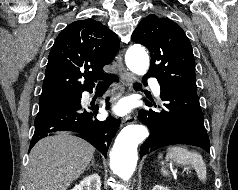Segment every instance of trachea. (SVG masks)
<instances>
[{
  "label": "trachea",
  "instance_id": "trachea-1",
  "mask_svg": "<svg viewBox=\"0 0 238 190\" xmlns=\"http://www.w3.org/2000/svg\"><path fill=\"white\" fill-rule=\"evenodd\" d=\"M98 85L99 86H108V84H106L104 82H100ZM135 87H140V84L139 83H135Z\"/></svg>",
  "mask_w": 238,
  "mask_h": 190
}]
</instances>
